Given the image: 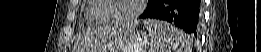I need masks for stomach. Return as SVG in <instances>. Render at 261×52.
<instances>
[{
  "mask_svg": "<svg viewBox=\"0 0 261 52\" xmlns=\"http://www.w3.org/2000/svg\"><path fill=\"white\" fill-rule=\"evenodd\" d=\"M149 44L145 33H137L130 36H118L117 45L113 47L115 52H144V47Z\"/></svg>",
  "mask_w": 261,
  "mask_h": 52,
  "instance_id": "obj_1",
  "label": "stomach"
}]
</instances>
